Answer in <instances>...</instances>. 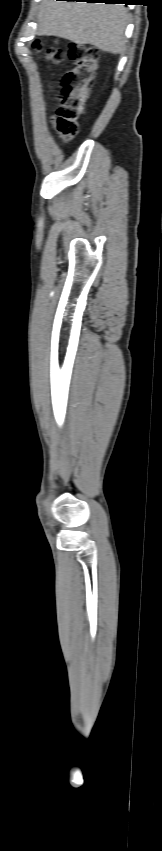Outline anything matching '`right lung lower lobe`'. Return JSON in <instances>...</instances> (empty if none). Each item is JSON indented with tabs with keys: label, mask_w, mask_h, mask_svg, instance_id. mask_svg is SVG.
<instances>
[{
	"label": "right lung lower lobe",
	"mask_w": 162,
	"mask_h": 851,
	"mask_svg": "<svg viewBox=\"0 0 162 851\" xmlns=\"http://www.w3.org/2000/svg\"><path fill=\"white\" fill-rule=\"evenodd\" d=\"M67 1H86V2H95V3L103 2V3H106V4L124 3V4L127 5L132 0H67Z\"/></svg>",
	"instance_id": "obj_1"
}]
</instances>
